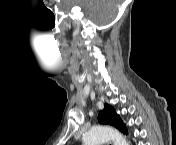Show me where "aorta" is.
<instances>
[{
	"instance_id": "aorta-1",
	"label": "aorta",
	"mask_w": 176,
	"mask_h": 145,
	"mask_svg": "<svg viewBox=\"0 0 176 145\" xmlns=\"http://www.w3.org/2000/svg\"><path fill=\"white\" fill-rule=\"evenodd\" d=\"M110 140L113 141L114 145H129L119 131L108 126H94L83 136L85 145H103Z\"/></svg>"
}]
</instances>
